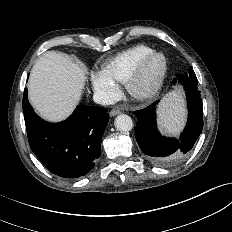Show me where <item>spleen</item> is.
Segmentation results:
<instances>
[{
	"label": "spleen",
	"mask_w": 232,
	"mask_h": 232,
	"mask_svg": "<svg viewBox=\"0 0 232 232\" xmlns=\"http://www.w3.org/2000/svg\"><path fill=\"white\" fill-rule=\"evenodd\" d=\"M184 109L181 98L178 94L171 96L163 105L160 112V120L165 129L169 132H177L182 126Z\"/></svg>",
	"instance_id": "obj_1"
}]
</instances>
